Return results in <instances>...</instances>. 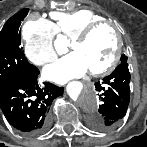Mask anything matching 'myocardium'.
<instances>
[{"instance_id": "obj_1", "label": "myocardium", "mask_w": 147, "mask_h": 147, "mask_svg": "<svg viewBox=\"0 0 147 147\" xmlns=\"http://www.w3.org/2000/svg\"><path fill=\"white\" fill-rule=\"evenodd\" d=\"M102 27H109L114 31V33L116 35V40H117L116 49H115V53H114L111 61L109 62V64H107L105 67H103L100 70L89 72L93 77H102V76L108 75L117 67V65L121 59L122 50H123V41H122V37H121L118 29L116 28V26L112 22L102 20V21H98V22H94V23L90 24L84 30H82L80 33H78L76 36H74L71 39V45H74L76 43H83L90 38V36L93 34V32H95L97 29L102 28Z\"/></svg>"}]
</instances>
